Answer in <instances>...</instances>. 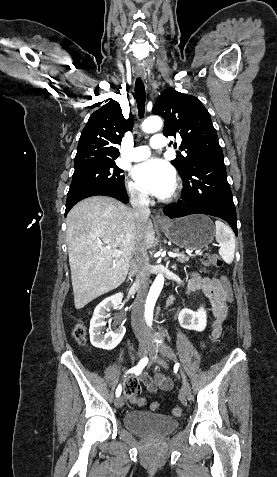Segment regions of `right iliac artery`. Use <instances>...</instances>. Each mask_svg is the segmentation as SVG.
Listing matches in <instances>:
<instances>
[{
  "mask_svg": "<svg viewBox=\"0 0 277 477\" xmlns=\"http://www.w3.org/2000/svg\"><path fill=\"white\" fill-rule=\"evenodd\" d=\"M148 362V358L145 357L143 359L140 360V362L138 363V365L132 369H130L128 372H134L136 374H139L141 372V370L146 366ZM121 394V385H119L116 389V396H120Z\"/></svg>",
  "mask_w": 277,
  "mask_h": 477,
  "instance_id": "right-iliac-artery-1",
  "label": "right iliac artery"
}]
</instances>
